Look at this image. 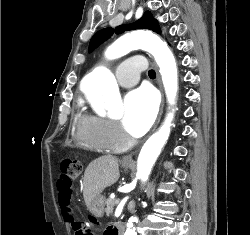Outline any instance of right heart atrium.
Wrapping results in <instances>:
<instances>
[{
    "label": "right heart atrium",
    "mask_w": 250,
    "mask_h": 235,
    "mask_svg": "<svg viewBox=\"0 0 250 235\" xmlns=\"http://www.w3.org/2000/svg\"><path fill=\"white\" fill-rule=\"evenodd\" d=\"M102 135L104 140L111 146L121 149L129 143V138L121 127L110 120H103Z\"/></svg>",
    "instance_id": "right-heart-atrium-1"
}]
</instances>
